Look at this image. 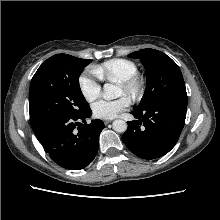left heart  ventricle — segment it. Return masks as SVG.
Listing matches in <instances>:
<instances>
[{
    "mask_svg": "<svg viewBox=\"0 0 220 220\" xmlns=\"http://www.w3.org/2000/svg\"><path fill=\"white\" fill-rule=\"evenodd\" d=\"M119 93L122 94L123 93V90L122 88L119 86Z\"/></svg>",
    "mask_w": 220,
    "mask_h": 220,
    "instance_id": "obj_1",
    "label": "left heart ventricle"
}]
</instances>
